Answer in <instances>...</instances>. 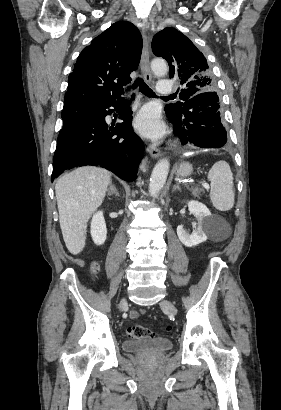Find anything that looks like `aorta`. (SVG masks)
Returning <instances> with one entry per match:
<instances>
[{
	"label": "aorta",
	"mask_w": 281,
	"mask_h": 410,
	"mask_svg": "<svg viewBox=\"0 0 281 410\" xmlns=\"http://www.w3.org/2000/svg\"><path fill=\"white\" fill-rule=\"evenodd\" d=\"M151 69L154 74L158 76H164L168 72L167 63L162 59L153 60L151 63ZM169 167V161L167 159H161L153 168L149 183V192L151 196H157L164 187L167 180Z\"/></svg>",
	"instance_id": "aorta-1"
}]
</instances>
